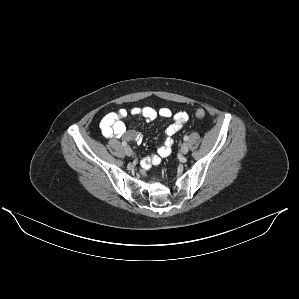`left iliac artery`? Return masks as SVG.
Returning <instances> with one entry per match:
<instances>
[{"label":"left iliac artery","instance_id":"obj_1","mask_svg":"<svg viewBox=\"0 0 299 299\" xmlns=\"http://www.w3.org/2000/svg\"><path fill=\"white\" fill-rule=\"evenodd\" d=\"M188 139H189V137H188V136H185V137H184V140H185V141H187Z\"/></svg>","mask_w":299,"mask_h":299}]
</instances>
